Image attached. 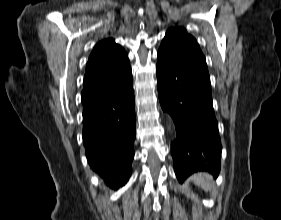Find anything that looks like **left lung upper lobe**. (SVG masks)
<instances>
[{
  "label": "left lung upper lobe",
  "mask_w": 281,
  "mask_h": 220,
  "mask_svg": "<svg viewBox=\"0 0 281 220\" xmlns=\"http://www.w3.org/2000/svg\"><path fill=\"white\" fill-rule=\"evenodd\" d=\"M158 54H182L206 65L205 57L196 39L189 35L186 29L182 27H172L168 29Z\"/></svg>",
  "instance_id": "1"
}]
</instances>
